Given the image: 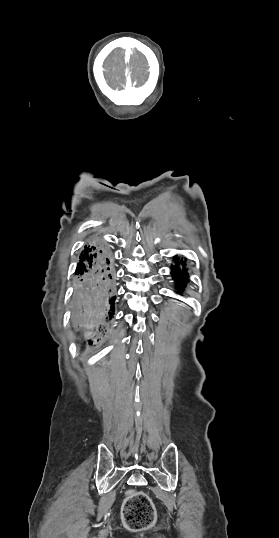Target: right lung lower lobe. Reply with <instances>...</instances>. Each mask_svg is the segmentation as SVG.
<instances>
[{
  "label": "right lung lower lobe",
  "instance_id": "98d812e1",
  "mask_svg": "<svg viewBox=\"0 0 279 538\" xmlns=\"http://www.w3.org/2000/svg\"><path fill=\"white\" fill-rule=\"evenodd\" d=\"M76 268L72 323L100 331L115 313L117 279L112 250L103 241L85 246Z\"/></svg>",
  "mask_w": 279,
  "mask_h": 538
}]
</instances>
